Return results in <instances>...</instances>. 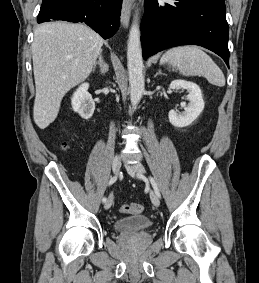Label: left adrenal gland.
Masks as SVG:
<instances>
[{
	"label": "left adrenal gland",
	"instance_id": "obj_1",
	"mask_svg": "<svg viewBox=\"0 0 259 283\" xmlns=\"http://www.w3.org/2000/svg\"><path fill=\"white\" fill-rule=\"evenodd\" d=\"M162 74L161 70L159 69L158 72L154 75V77H156L157 75Z\"/></svg>",
	"mask_w": 259,
	"mask_h": 283
}]
</instances>
